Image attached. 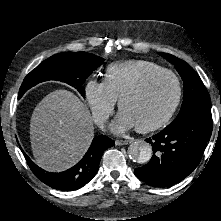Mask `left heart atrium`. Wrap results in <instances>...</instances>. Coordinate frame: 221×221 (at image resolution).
<instances>
[{
  "mask_svg": "<svg viewBox=\"0 0 221 221\" xmlns=\"http://www.w3.org/2000/svg\"><path fill=\"white\" fill-rule=\"evenodd\" d=\"M135 127L133 120L125 112L120 111L116 121L111 125V129L115 132H123Z\"/></svg>",
  "mask_w": 221,
  "mask_h": 221,
  "instance_id": "obj_1",
  "label": "left heart atrium"
}]
</instances>
